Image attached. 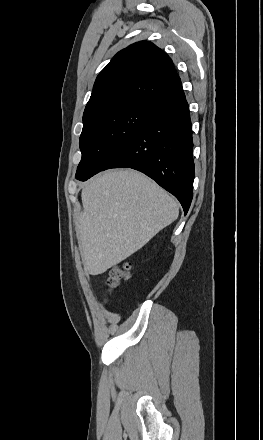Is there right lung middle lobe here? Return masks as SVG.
Listing matches in <instances>:
<instances>
[{"instance_id": "right-lung-middle-lobe-1", "label": "right lung middle lobe", "mask_w": 263, "mask_h": 440, "mask_svg": "<svg viewBox=\"0 0 263 440\" xmlns=\"http://www.w3.org/2000/svg\"><path fill=\"white\" fill-rule=\"evenodd\" d=\"M153 110L147 103H130L104 110L83 122L82 159L76 178L87 180L102 171L111 156L141 128Z\"/></svg>"}]
</instances>
